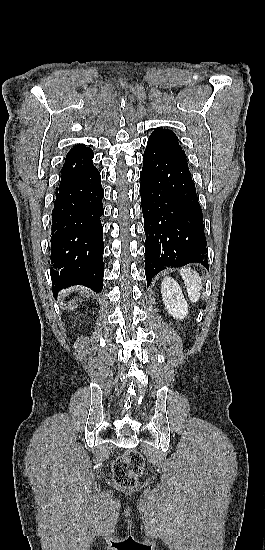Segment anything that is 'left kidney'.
<instances>
[{
    "instance_id": "left-kidney-1",
    "label": "left kidney",
    "mask_w": 265,
    "mask_h": 550,
    "mask_svg": "<svg viewBox=\"0 0 265 550\" xmlns=\"http://www.w3.org/2000/svg\"><path fill=\"white\" fill-rule=\"evenodd\" d=\"M161 294L168 312L176 319L182 320L188 314V304L179 284L166 277L161 284Z\"/></svg>"
}]
</instances>
